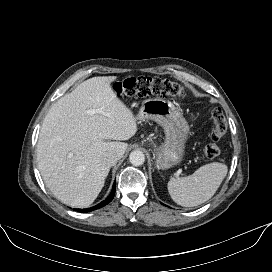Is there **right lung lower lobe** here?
<instances>
[{
    "mask_svg": "<svg viewBox=\"0 0 272 272\" xmlns=\"http://www.w3.org/2000/svg\"><path fill=\"white\" fill-rule=\"evenodd\" d=\"M115 184L116 183L113 184V189L111 191V194L104 201H102L98 205L93 206L91 208H87V209H76V211H79V212H89V211H93V210L99 209V208L107 205L114 198V195H115Z\"/></svg>",
    "mask_w": 272,
    "mask_h": 272,
    "instance_id": "98d812e1",
    "label": "right lung lower lobe"
}]
</instances>
